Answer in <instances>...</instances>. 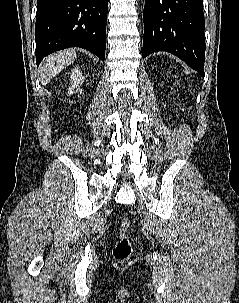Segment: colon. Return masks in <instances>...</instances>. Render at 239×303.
Listing matches in <instances>:
<instances>
[{"mask_svg":"<svg viewBox=\"0 0 239 303\" xmlns=\"http://www.w3.org/2000/svg\"><path fill=\"white\" fill-rule=\"evenodd\" d=\"M130 222L127 218H122L119 223V234L116 245L113 250L114 259L118 262H124L130 257L132 248L128 237Z\"/></svg>","mask_w":239,"mask_h":303,"instance_id":"1","label":"colon"}]
</instances>
